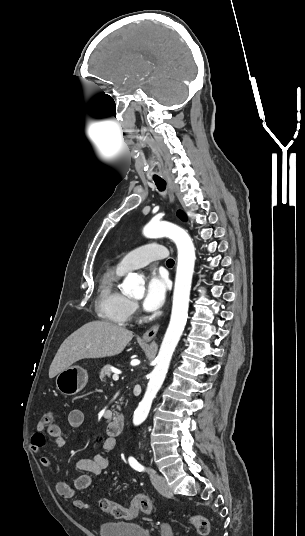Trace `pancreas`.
I'll use <instances>...</instances> for the list:
<instances>
[{
    "instance_id": "1",
    "label": "pancreas",
    "mask_w": 305,
    "mask_h": 536,
    "mask_svg": "<svg viewBox=\"0 0 305 536\" xmlns=\"http://www.w3.org/2000/svg\"><path fill=\"white\" fill-rule=\"evenodd\" d=\"M98 376H99L101 382H105V380H107V378H110V376H112V374H111V366H109V364H107V366H103V368H101L100 372H98ZM116 414H118V412H116Z\"/></svg>"
}]
</instances>
